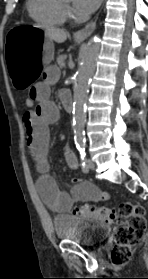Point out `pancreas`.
<instances>
[{
  "label": "pancreas",
  "mask_w": 148,
  "mask_h": 279,
  "mask_svg": "<svg viewBox=\"0 0 148 279\" xmlns=\"http://www.w3.org/2000/svg\"><path fill=\"white\" fill-rule=\"evenodd\" d=\"M66 59V55H60L58 58H57V63L60 67H63L64 66V60Z\"/></svg>",
  "instance_id": "cf45deb5"
}]
</instances>
